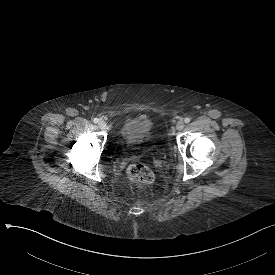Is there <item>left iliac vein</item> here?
Here are the masks:
<instances>
[{
	"label": "left iliac vein",
	"instance_id": "1",
	"mask_svg": "<svg viewBox=\"0 0 275 275\" xmlns=\"http://www.w3.org/2000/svg\"><path fill=\"white\" fill-rule=\"evenodd\" d=\"M184 122L182 121V120H180L178 123H177V125H176V129H177V131H182L183 130V128H184Z\"/></svg>",
	"mask_w": 275,
	"mask_h": 275
}]
</instances>
